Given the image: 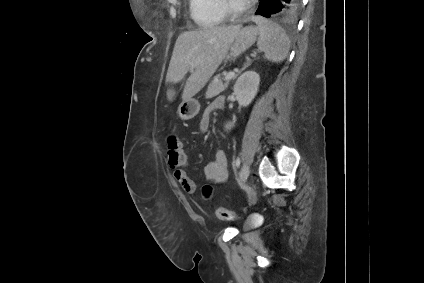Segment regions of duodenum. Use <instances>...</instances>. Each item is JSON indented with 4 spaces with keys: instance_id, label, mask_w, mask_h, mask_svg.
Instances as JSON below:
<instances>
[{
    "instance_id": "410a0bca",
    "label": "duodenum",
    "mask_w": 424,
    "mask_h": 283,
    "mask_svg": "<svg viewBox=\"0 0 424 283\" xmlns=\"http://www.w3.org/2000/svg\"><path fill=\"white\" fill-rule=\"evenodd\" d=\"M224 106V101L221 103V107H223Z\"/></svg>"
}]
</instances>
